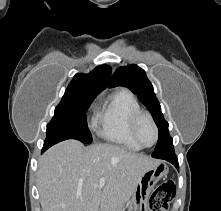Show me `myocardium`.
<instances>
[{"label": "myocardium", "mask_w": 221, "mask_h": 211, "mask_svg": "<svg viewBox=\"0 0 221 211\" xmlns=\"http://www.w3.org/2000/svg\"><path fill=\"white\" fill-rule=\"evenodd\" d=\"M143 118H147L151 125L153 126V129H154V132H155V139H154V142L151 144V145H145L139 138V135H138V126H139V123L140 121L143 119ZM129 130H130V134L133 138V140L141 147V148H150L152 146H154L157 142H158V139H159V129H158V126L153 118V116L145 111V110H138L136 112H134L131 117H130V122H129Z\"/></svg>", "instance_id": "obj_1"}]
</instances>
